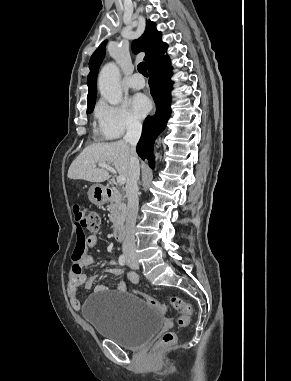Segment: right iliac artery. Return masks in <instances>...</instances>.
Returning <instances> with one entry per match:
<instances>
[{"mask_svg": "<svg viewBox=\"0 0 291 381\" xmlns=\"http://www.w3.org/2000/svg\"><path fill=\"white\" fill-rule=\"evenodd\" d=\"M126 263H127V260H126L125 256H124V255H121V256L119 257V264L122 265V266H124V265H126Z\"/></svg>", "mask_w": 291, "mask_h": 381, "instance_id": "right-iliac-artery-1", "label": "right iliac artery"}]
</instances>
